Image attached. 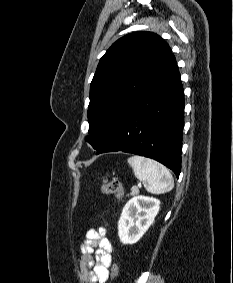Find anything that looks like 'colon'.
I'll return each mask as SVG.
<instances>
[{
  "label": "colon",
  "instance_id": "obj_1",
  "mask_svg": "<svg viewBox=\"0 0 233 283\" xmlns=\"http://www.w3.org/2000/svg\"><path fill=\"white\" fill-rule=\"evenodd\" d=\"M101 190L104 194H113L119 200H121L124 196V186L120 180H105L101 186ZM119 273V268L116 263H113L111 266V277L112 279H116Z\"/></svg>",
  "mask_w": 233,
  "mask_h": 283
}]
</instances>
